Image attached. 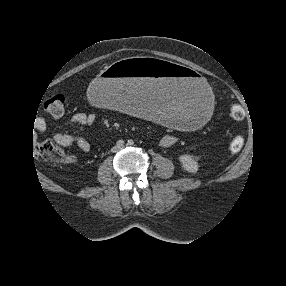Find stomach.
Listing matches in <instances>:
<instances>
[{
	"mask_svg": "<svg viewBox=\"0 0 286 286\" xmlns=\"http://www.w3.org/2000/svg\"><path fill=\"white\" fill-rule=\"evenodd\" d=\"M85 95L94 106L173 130L200 126L214 104L213 89L202 74L149 57L106 67L88 83Z\"/></svg>",
	"mask_w": 286,
	"mask_h": 286,
	"instance_id": "stomach-1",
	"label": "stomach"
}]
</instances>
